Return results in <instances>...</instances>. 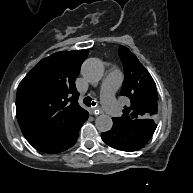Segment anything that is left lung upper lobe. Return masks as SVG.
I'll list each match as a JSON object with an SVG mask.
<instances>
[{"label":"left lung upper lobe","instance_id":"obj_1","mask_svg":"<svg viewBox=\"0 0 193 193\" xmlns=\"http://www.w3.org/2000/svg\"><path fill=\"white\" fill-rule=\"evenodd\" d=\"M119 55L125 74L121 95L130 99V106L125 107L122 117L113 120L123 124L154 122L158 96L151 75L128 48L120 47Z\"/></svg>","mask_w":193,"mask_h":193}]
</instances>
